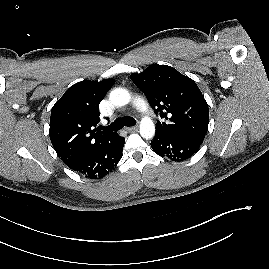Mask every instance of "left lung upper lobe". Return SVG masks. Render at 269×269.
Segmentation results:
<instances>
[{"instance_id": "obj_1", "label": "left lung upper lobe", "mask_w": 269, "mask_h": 269, "mask_svg": "<svg viewBox=\"0 0 269 269\" xmlns=\"http://www.w3.org/2000/svg\"><path fill=\"white\" fill-rule=\"evenodd\" d=\"M131 79L146 95L151 107L166 122L156 132L168 135H201L208 130L209 109L196 83L167 65H151Z\"/></svg>"}]
</instances>
